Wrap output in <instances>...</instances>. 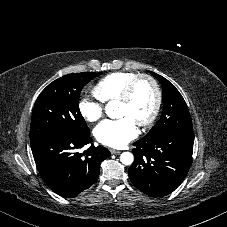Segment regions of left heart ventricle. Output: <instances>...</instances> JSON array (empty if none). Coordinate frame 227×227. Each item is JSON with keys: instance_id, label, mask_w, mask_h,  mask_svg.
Masks as SVG:
<instances>
[{"instance_id": "left-heart-ventricle-1", "label": "left heart ventricle", "mask_w": 227, "mask_h": 227, "mask_svg": "<svg viewBox=\"0 0 227 227\" xmlns=\"http://www.w3.org/2000/svg\"><path fill=\"white\" fill-rule=\"evenodd\" d=\"M155 102V93L147 80L138 83L132 99L128 103L117 104V115L128 117L139 125L151 113Z\"/></svg>"}]
</instances>
